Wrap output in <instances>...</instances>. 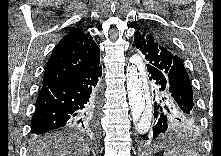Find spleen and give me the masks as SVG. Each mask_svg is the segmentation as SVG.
Segmentation results:
<instances>
[{
    "instance_id": "3e777b00",
    "label": "spleen",
    "mask_w": 221,
    "mask_h": 156,
    "mask_svg": "<svg viewBox=\"0 0 221 156\" xmlns=\"http://www.w3.org/2000/svg\"><path fill=\"white\" fill-rule=\"evenodd\" d=\"M164 156H198V153L191 147L178 146L165 151Z\"/></svg>"
}]
</instances>
